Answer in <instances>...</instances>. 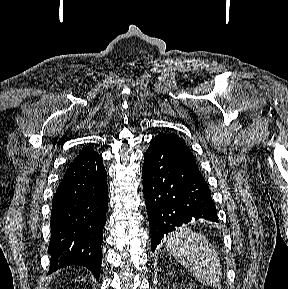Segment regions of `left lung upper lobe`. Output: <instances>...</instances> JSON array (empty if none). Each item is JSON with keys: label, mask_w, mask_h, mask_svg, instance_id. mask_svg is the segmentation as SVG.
<instances>
[{"label": "left lung upper lobe", "mask_w": 288, "mask_h": 289, "mask_svg": "<svg viewBox=\"0 0 288 289\" xmlns=\"http://www.w3.org/2000/svg\"><path fill=\"white\" fill-rule=\"evenodd\" d=\"M154 139L164 143L179 158L197 167L195 157L189 151L183 138L176 134L160 133Z\"/></svg>", "instance_id": "obj_1"}]
</instances>
